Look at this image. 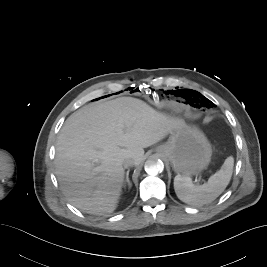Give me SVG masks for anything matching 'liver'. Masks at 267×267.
Returning <instances> with one entry per match:
<instances>
[{
  "label": "liver",
  "instance_id": "1",
  "mask_svg": "<svg viewBox=\"0 0 267 267\" xmlns=\"http://www.w3.org/2000/svg\"><path fill=\"white\" fill-rule=\"evenodd\" d=\"M184 126L182 119L132 97L80 108L67 118L57 139L55 173L64 195L89 214L112 213L124 181L123 161L141 164L144 148Z\"/></svg>",
  "mask_w": 267,
  "mask_h": 267
}]
</instances>
